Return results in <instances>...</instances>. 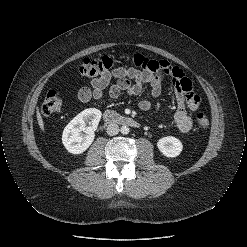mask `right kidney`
Masks as SVG:
<instances>
[{
  "instance_id": "1",
  "label": "right kidney",
  "mask_w": 247,
  "mask_h": 247,
  "mask_svg": "<svg viewBox=\"0 0 247 247\" xmlns=\"http://www.w3.org/2000/svg\"><path fill=\"white\" fill-rule=\"evenodd\" d=\"M101 111L96 108H88L74 117L64 128L62 143L68 152L81 154L92 144L99 121Z\"/></svg>"
}]
</instances>
